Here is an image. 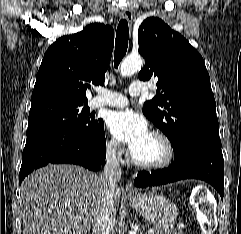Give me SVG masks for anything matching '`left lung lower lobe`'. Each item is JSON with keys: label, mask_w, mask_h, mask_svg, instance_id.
<instances>
[{"label": "left lung lower lobe", "mask_w": 241, "mask_h": 234, "mask_svg": "<svg viewBox=\"0 0 241 234\" xmlns=\"http://www.w3.org/2000/svg\"><path fill=\"white\" fill-rule=\"evenodd\" d=\"M174 153V162L167 169L139 172L134 184L148 187L181 179H201L210 183L223 199L224 160L220 140L194 138L183 143Z\"/></svg>", "instance_id": "left-lung-lower-lobe-1"}]
</instances>
